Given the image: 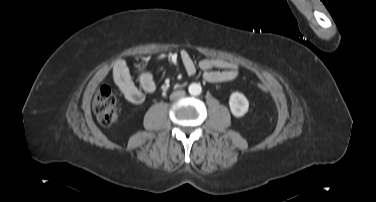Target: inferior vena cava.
Here are the masks:
<instances>
[{
    "instance_id": "1",
    "label": "inferior vena cava",
    "mask_w": 376,
    "mask_h": 202,
    "mask_svg": "<svg viewBox=\"0 0 376 202\" xmlns=\"http://www.w3.org/2000/svg\"><path fill=\"white\" fill-rule=\"evenodd\" d=\"M185 95V91L179 90L171 94V99H176Z\"/></svg>"
}]
</instances>
